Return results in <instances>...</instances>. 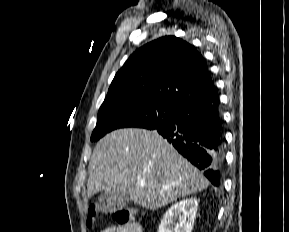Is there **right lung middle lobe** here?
Masks as SVG:
<instances>
[{"label": "right lung middle lobe", "instance_id": "dd1d6c3e", "mask_svg": "<svg viewBox=\"0 0 289 232\" xmlns=\"http://www.w3.org/2000/svg\"><path fill=\"white\" fill-rule=\"evenodd\" d=\"M178 108L148 100L142 96L105 99L98 112L91 141H97L106 133L125 127L158 128L172 121Z\"/></svg>", "mask_w": 289, "mask_h": 232}]
</instances>
